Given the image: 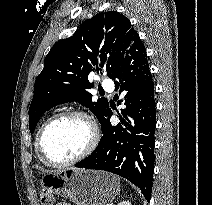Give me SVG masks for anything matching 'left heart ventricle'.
Instances as JSON below:
<instances>
[{
	"mask_svg": "<svg viewBox=\"0 0 212 205\" xmlns=\"http://www.w3.org/2000/svg\"><path fill=\"white\" fill-rule=\"evenodd\" d=\"M90 140L87 123L77 117L54 123L44 137V148L55 161H66L80 154Z\"/></svg>",
	"mask_w": 212,
	"mask_h": 205,
	"instance_id": "obj_1",
	"label": "left heart ventricle"
}]
</instances>
